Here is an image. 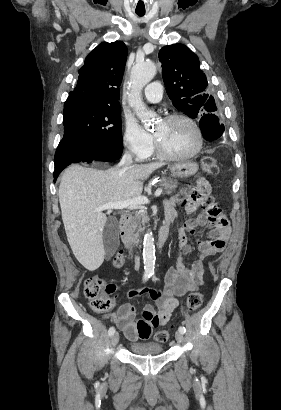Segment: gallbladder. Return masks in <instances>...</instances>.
I'll list each match as a JSON object with an SVG mask.
<instances>
[{
  "label": "gallbladder",
  "mask_w": 281,
  "mask_h": 410,
  "mask_svg": "<svg viewBox=\"0 0 281 410\" xmlns=\"http://www.w3.org/2000/svg\"><path fill=\"white\" fill-rule=\"evenodd\" d=\"M105 256L111 258L119 246V228L115 217H109L103 230Z\"/></svg>",
  "instance_id": "obj_1"
}]
</instances>
